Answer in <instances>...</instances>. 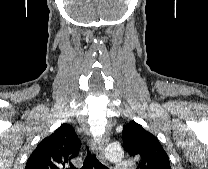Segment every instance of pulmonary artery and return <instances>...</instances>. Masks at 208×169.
I'll return each instance as SVG.
<instances>
[{"instance_id":"e3ab8cb5","label":"pulmonary artery","mask_w":208,"mask_h":169,"mask_svg":"<svg viewBox=\"0 0 208 169\" xmlns=\"http://www.w3.org/2000/svg\"><path fill=\"white\" fill-rule=\"evenodd\" d=\"M132 162L130 160H119L114 169H132Z\"/></svg>"}]
</instances>
